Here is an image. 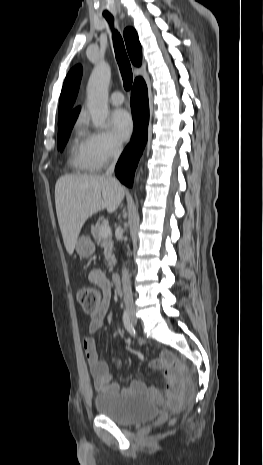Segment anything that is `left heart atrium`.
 <instances>
[{"label": "left heart atrium", "instance_id": "obj_1", "mask_svg": "<svg viewBox=\"0 0 263 465\" xmlns=\"http://www.w3.org/2000/svg\"><path fill=\"white\" fill-rule=\"evenodd\" d=\"M111 126L114 134L120 140H127L133 130L131 115L124 109H116L111 115Z\"/></svg>", "mask_w": 263, "mask_h": 465}]
</instances>
